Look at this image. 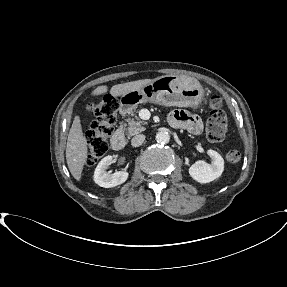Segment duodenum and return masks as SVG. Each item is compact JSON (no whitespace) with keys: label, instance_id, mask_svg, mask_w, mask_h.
Instances as JSON below:
<instances>
[{"label":"duodenum","instance_id":"1","mask_svg":"<svg viewBox=\"0 0 287 287\" xmlns=\"http://www.w3.org/2000/svg\"><path fill=\"white\" fill-rule=\"evenodd\" d=\"M126 141L122 131H116L111 138V146L114 150L120 151L125 148Z\"/></svg>","mask_w":287,"mask_h":287}]
</instances>
